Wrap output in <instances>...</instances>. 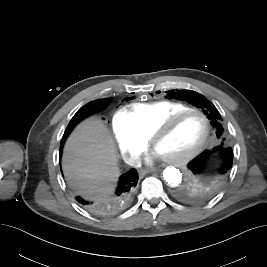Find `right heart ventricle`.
Masks as SVG:
<instances>
[{"label":"right heart ventricle","instance_id":"right-heart-ventricle-1","mask_svg":"<svg viewBox=\"0 0 267 267\" xmlns=\"http://www.w3.org/2000/svg\"><path fill=\"white\" fill-rule=\"evenodd\" d=\"M187 109H191V107L185 103L162 100L132 104L124 112L138 133L145 139H149L152 132L165 119L174 113Z\"/></svg>","mask_w":267,"mask_h":267}]
</instances>
